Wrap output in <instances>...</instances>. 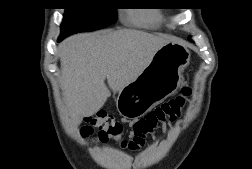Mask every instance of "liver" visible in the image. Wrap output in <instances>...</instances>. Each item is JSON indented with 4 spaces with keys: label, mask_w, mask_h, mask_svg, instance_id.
<instances>
[{
    "label": "liver",
    "mask_w": 252,
    "mask_h": 169,
    "mask_svg": "<svg viewBox=\"0 0 252 169\" xmlns=\"http://www.w3.org/2000/svg\"><path fill=\"white\" fill-rule=\"evenodd\" d=\"M170 38L134 29L81 33L59 45L61 87L70 125L98 112L110 90L115 94L134 81ZM107 79L108 87L105 84Z\"/></svg>",
    "instance_id": "6515ba94"
}]
</instances>
